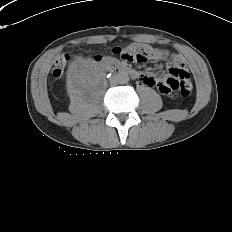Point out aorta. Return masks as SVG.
Returning <instances> with one entry per match:
<instances>
[{"label":"aorta","instance_id":"1","mask_svg":"<svg viewBox=\"0 0 232 232\" xmlns=\"http://www.w3.org/2000/svg\"><path fill=\"white\" fill-rule=\"evenodd\" d=\"M116 80L120 84H126L129 81V76L127 72H119L116 75Z\"/></svg>","mask_w":232,"mask_h":232}]
</instances>
